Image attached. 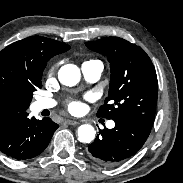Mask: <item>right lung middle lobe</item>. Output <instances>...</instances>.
I'll list each match as a JSON object with an SVG mask.
<instances>
[{"mask_svg":"<svg viewBox=\"0 0 183 183\" xmlns=\"http://www.w3.org/2000/svg\"><path fill=\"white\" fill-rule=\"evenodd\" d=\"M42 87V83L41 81H39L37 84L35 85H31L28 89H27V99L29 102H31L32 100V96H33V92L36 91L37 88H41Z\"/></svg>","mask_w":183,"mask_h":183,"instance_id":"obj_1","label":"right lung middle lobe"}]
</instances>
